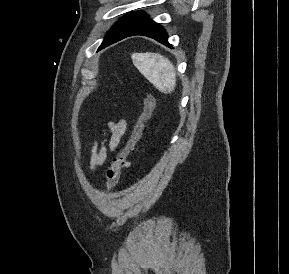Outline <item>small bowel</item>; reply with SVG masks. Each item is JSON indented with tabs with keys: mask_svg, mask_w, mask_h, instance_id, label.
Segmentation results:
<instances>
[{
	"mask_svg": "<svg viewBox=\"0 0 289 274\" xmlns=\"http://www.w3.org/2000/svg\"><path fill=\"white\" fill-rule=\"evenodd\" d=\"M126 129L127 123L124 119L112 121L107 124L105 131V134L109 137L100 142L93 140L90 156V169L92 171L102 167L106 162L108 153H112L118 148Z\"/></svg>",
	"mask_w": 289,
	"mask_h": 274,
	"instance_id": "c3829d8e",
	"label": "small bowel"
}]
</instances>
